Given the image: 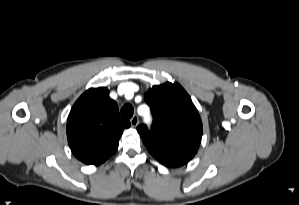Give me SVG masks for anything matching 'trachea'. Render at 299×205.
Wrapping results in <instances>:
<instances>
[{"mask_svg": "<svg viewBox=\"0 0 299 205\" xmlns=\"http://www.w3.org/2000/svg\"><path fill=\"white\" fill-rule=\"evenodd\" d=\"M134 113V109L133 106L131 104H125L122 108H121V116L123 118H131L133 116Z\"/></svg>", "mask_w": 299, "mask_h": 205, "instance_id": "trachea-1", "label": "trachea"}]
</instances>
